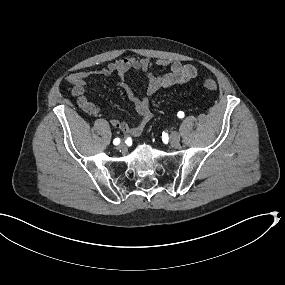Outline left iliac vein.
<instances>
[{"instance_id":"left-iliac-vein-1","label":"left iliac vein","mask_w":285,"mask_h":285,"mask_svg":"<svg viewBox=\"0 0 285 285\" xmlns=\"http://www.w3.org/2000/svg\"><path fill=\"white\" fill-rule=\"evenodd\" d=\"M179 142H180V135H179V133L176 132V131H173L170 134V145L172 147H177L179 145Z\"/></svg>"}]
</instances>
